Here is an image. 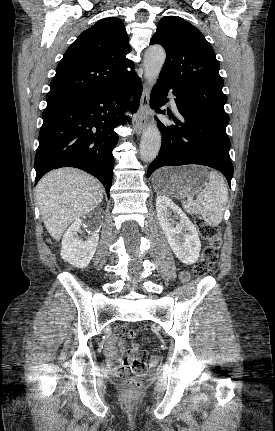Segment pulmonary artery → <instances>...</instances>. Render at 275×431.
Segmentation results:
<instances>
[{
	"instance_id": "obj_1",
	"label": "pulmonary artery",
	"mask_w": 275,
	"mask_h": 431,
	"mask_svg": "<svg viewBox=\"0 0 275 431\" xmlns=\"http://www.w3.org/2000/svg\"><path fill=\"white\" fill-rule=\"evenodd\" d=\"M170 97H171V105H172V108H173L174 110H176V109H177V106H176V103H175V100H174V96H173V95H171Z\"/></svg>"
}]
</instances>
